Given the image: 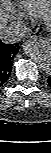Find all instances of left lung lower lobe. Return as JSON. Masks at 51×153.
<instances>
[{
    "mask_svg": "<svg viewBox=\"0 0 51 153\" xmlns=\"http://www.w3.org/2000/svg\"><path fill=\"white\" fill-rule=\"evenodd\" d=\"M47 82L51 86V76L47 79Z\"/></svg>",
    "mask_w": 51,
    "mask_h": 153,
    "instance_id": "0a47b994",
    "label": "left lung lower lobe"
}]
</instances>
